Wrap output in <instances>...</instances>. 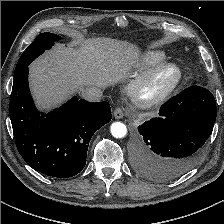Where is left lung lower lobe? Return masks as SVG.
Wrapping results in <instances>:
<instances>
[{
    "mask_svg": "<svg viewBox=\"0 0 224 224\" xmlns=\"http://www.w3.org/2000/svg\"><path fill=\"white\" fill-rule=\"evenodd\" d=\"M216 119L210 91L191 86L160 108L159 117L138 126L136 171L153 180H172L191 169L201 157Z\"/></svg>",
    "mask_w": 224,
    "mask_h": 224,
    "instance_id": "left-lung-lower-lobe-1",
    "label": "left lung lower lobe"
}]
</instances>
